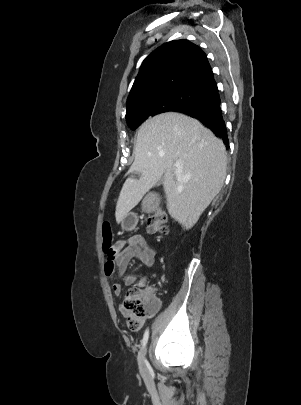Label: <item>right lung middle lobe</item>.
I'll list each match as a JSON object with an SVG mask.
<instances>
[{"label": "right lung middle lobe", "instance_id": "obj_1", "mask_svg": "<svg viewBox=\"0 0 301 405\" xmlns=\"http://www.w3.org/2000/svg\"><path fill=\"white\" fill-rule=\"evenodd\" d=\"M212 98L210 93L189 87L168 89L138 100L129 111H126V121L128 126L135 130L149 117L206 103Z\"/></svg>", "mask_w": 301, "mask_h": 405}]
</instances>
